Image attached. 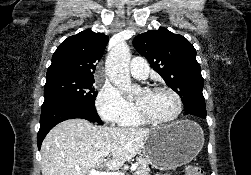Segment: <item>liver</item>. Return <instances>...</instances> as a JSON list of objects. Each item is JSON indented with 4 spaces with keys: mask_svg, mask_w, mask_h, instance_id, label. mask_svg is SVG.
Instances as JSON below:
<instances>
[{
    "mask_svg": "<svg viewBox=\"0 0 251 175\" xmlns=\"http://www.w3.org/2000/svg\"><path fill=\"white\" fill-rule=\"evenodd\" d=\"M149 131L145 127H103L87 119L61 121L42 141V175H87L99 167L119 169L139 153ZM109 153L112 157L105 159Z\"/></svg>",
    "mask_w": 251,
    "mask_h": 175,
    "instance_id": "obj_1",
    "label": "liver"
}]
</instances>
